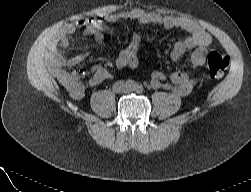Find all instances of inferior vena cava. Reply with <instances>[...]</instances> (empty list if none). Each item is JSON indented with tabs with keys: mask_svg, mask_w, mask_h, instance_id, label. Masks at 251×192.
<instances>
[{
	"mask_svg": "<svg viewBox=\"0 0 251 192\" xmlns=\"http://www.w3.org/2000/svg\"><path fill=\"white\" fill-rule=\"evenodd\" d=\"M122 85V88H118L119 85ZM125 90V87H124V83L122 81H119V82H116L114 84V91L115 92H120V91H124Z\"/></svg>",
	"mask_w": 251,
	"mask_h": 192,
	"instance_id": "602c4592",
	"label": "inferior vena cava"
}]
</instances>
